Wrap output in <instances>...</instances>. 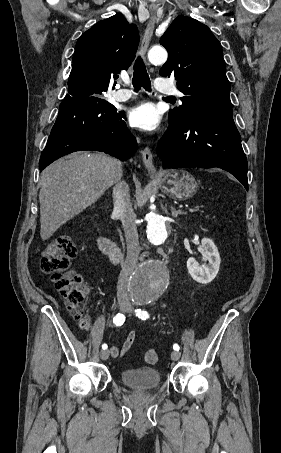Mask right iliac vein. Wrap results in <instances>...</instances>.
Masks as SVG:
<instances>
[{"label":"right iliac vein","mask_w":281,"mask_h":453,"mask_svg":"<svg viewBox=\"0 0 281 453\" xmlns=\"http://www.w3.org/2000/svg\"><path fill=\"white\" fill-rule=\"evenodd\" d=\"M120 304H121L122 306H125V305L127 304V301H120ZM100 353H101L100 355H101V357L104 359V361H107V357H108V355H109V354H108L109 352H108V351H101Z\"/></svg>","instance_id":"1"}]
</instances>
